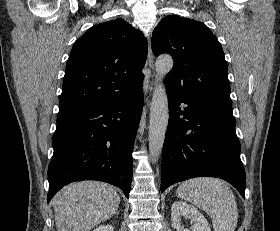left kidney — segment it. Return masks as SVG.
<instances>
[{
  "label": "left kidney",
  "mask_w": 280,
  "mask_h": 231,
  "mask_svg": "<svg viewBox=\"0 0 280 231\" xmlns=\"http://www.w3.org/2000/svg\"><path fill=\"white\" fill-rule=\"evenodd\" d=\"M182 219H190L191 231H211L206 217L198 211L197 207L185 201H174L171 207L172 227H176L177 231H190L188 227H183Z\"/></svg>",
  "instance_id": "5707ae66"
}]
</instances>
